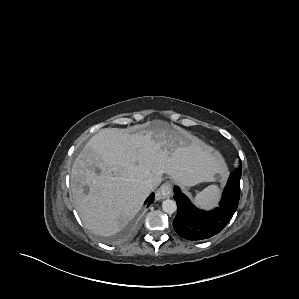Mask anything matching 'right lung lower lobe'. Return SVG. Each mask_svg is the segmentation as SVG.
Returning a JSON list of instances; mask_svg holds the SVG:
<instances>
[{
	"label": "right lung lower lobe",
	"instance_id": "right-lung-lower-lobe-1",
	"mask_svg": "<svg viewBox=\"0 0 299 299\" xmlns=\"http://www.w3.org/2000/svg\"><path fill=\"white\" fill-rule=\"evenodd\" d=\"M153 202H154V193H152V194L147 198V200H146L145 203H147L148 206H149V205L152 204Z\"/></svg>",
	"mask_w": 299,
	"mask_h": 299
}]
</instances>
